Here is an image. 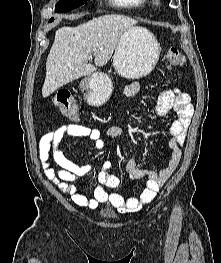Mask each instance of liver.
Returning <instances> with one entry per match:
<instances>
[{"label":"liver","mask_w":221,"mask_h":263,"mask_svg":"<svg viewBox=\"0 0 221 263\" xmlns=\"http://www.w3.org/2000/svg\"><path fill=\"white\" fill-rule=\"evenodd\" d=\"M137 23L125 15L107 14L77 27L59 28L46 61L43 97L95 72L96 67L89 63L90 53H93L96 66L106 65L123 34Z\"/></svg>","instance_id":"1"}]
</instances>
